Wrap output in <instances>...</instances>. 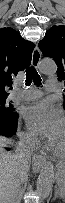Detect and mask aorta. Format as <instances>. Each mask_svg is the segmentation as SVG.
Returning a JSON list of instances; mask_svg holds the SVG:
<instances>
[{
    "mask_svg": "<svg viewBox=\"0 0 65 203\" xmlns=\"http://www.w3.org/2000/svg\"><path fill=\"white\" fill-rule=\"evenodd\" d=\"M39 70L42 74L54 75L57 71V66L52 59H43L39 64ZM54 180V165L51 162L43 163L36 182L37 193L41 200H46L50 196Z\"/></svg>",
    "mask_w": 65,
    "mask_h": 203,
    "instance_id": "obj_1",
    "label": "aorta"
}]
</instances>
